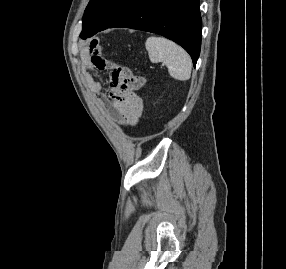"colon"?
I'll return each mask as SVG.
<instances>
[{
    "mask_svg": "<svg viewBox=\"0 0 286 269\" xmlns=\"http://www.w3.org/2000/svg\"><path fill=\"white\" fill-rule=\"evenodd\" d=\"M112 83L118 95H122L123 110H144V100H141L140 91H143L146 78L134 75L128 65H113L111 68Z\"/></svg>",
    "mask_w": 286,
    "mask_h": 269,
    "instance_id": "5ec220e1",
    "label": "colon"
}]
</instances>
